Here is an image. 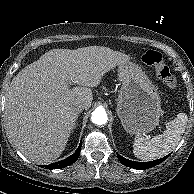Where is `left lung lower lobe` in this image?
Returning a JSON list of instances; mask_svg holds the SVG:
<instances>
[{
	"label": "left lung lower lobe",
	"instance_id": "0a47b994",
	"mask_svg": "<svg viewBox=\"0 0 194 194\" xmlns=\"http://www.w3.org/2000/svg\"><path fill=\"white\" fill-rule=\"evenodd\" d=\"M117 156H118V159L120 160V162L122 164H124L128 167L134 168V169H148V168L154 167V166L160 164L161 162L166 160V158L169 157V155H167L163 158H160V159H157V160H154V161H150V162H135V161L128 160V159L122 157L119 154H117Z\"/></svg>",
	"mask_w": 194,
	"mask_h": 194
}]
</instances>
